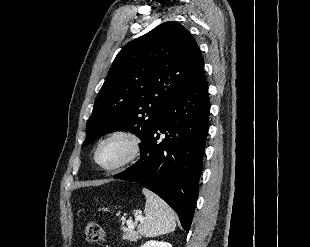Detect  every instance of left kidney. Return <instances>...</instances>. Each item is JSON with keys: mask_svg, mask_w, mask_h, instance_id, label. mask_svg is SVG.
Listing matches in <instances>:
<instances>
[{"mask_svg": "<svg viewBox=\"0 0 310 247\" xmlns=\"http://www.w3.org/2000/svg\"><path fill=\"white\" fill-rule=\"evenodd\" d=\"M141 247H172V245L168 242H159V241H155V240H150L148 242H146L144 245H142Z\"/></svg>", "mask_w": 310, "mask_h": 247, "instance_id": "obj_1", "label": "left kidney"}]
</instances>
